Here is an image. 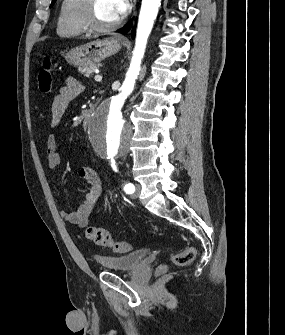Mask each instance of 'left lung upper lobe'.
Wrapping results in <instances>:
<instances>
[{"instance_id": "left-lung-upper-lobe-1", "label": "left lung upper lobe", "mask_w": 285, "mask_h": 335, "mask_svg": "<svg viewBox=\"0 0 285 335\" xmlns=\"http://www.w3.org/2000/svg\"><path fill=\"white\" fill-rule=\"evenodd\" d=\"M56 2V0H52L51 6Z\"/></svg>"}]
</instances>
